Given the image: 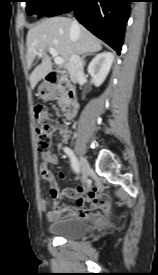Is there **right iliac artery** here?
Wrapping results in <instances>:
<instances>
[{"instance_id": "82829eb1", "label": "right iliac artery", "mask_w": 158, "mask_h": 275, "mask_svg": "<svg viewBox=\"0 0 158 275\" xmlns=\"http://www.w3.org/2000/svg\"><path fill=\"white\" fill-rule=\"evenodd\" d=\"M63 150L69 156L70 161H71V166H72V169L74 170V172L77 174H80V172H81L80 165H79L78 160L75 157L73 151L69 147H64Z\"/></svg>"}]
</instances>
